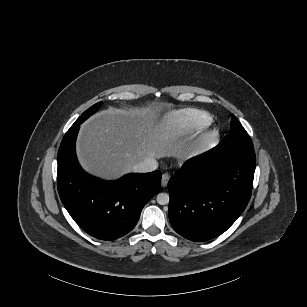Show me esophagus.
Listing matches in <instances>:
<instances>
[{"instance_id": "esophagus-1", "label": "esophagus", "mask_w": 307, "mask_h": 307, "mask_svg": "<svg viewBox=\"0 0 307 307\" xmlns=\"http://www.w3.org/2000/svg\"><path fill=\"white\" fill-rule=\"evenodd\" d=\"M169 179H170V175H169L168 173H164V174L162 175V178H161V185H162L163 187H166L167 184H168Z\"/></svg>"}]
</instances>
